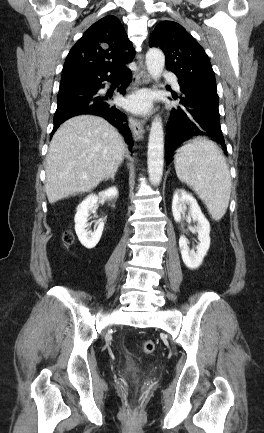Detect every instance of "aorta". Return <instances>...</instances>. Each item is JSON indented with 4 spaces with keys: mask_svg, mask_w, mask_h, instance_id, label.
I'll return each mask as SVG.
<instances>
[{
    "mask_svg": "<svg viewBox=\"0 0 264 433\" xmlns=\"http://www.w3.org/2000/svg\"><path fill=\"white\" fill-rule=\"evenodd\" d=\"M146 66L149 75L157 81L165 66V56L157 48H151L146 54ZM148 173L152 185L160 184L164 166V131L160 117H155L151 124L148 139Z\"/></svg>",
    "mask_w": 264,
    "mask_h": 433,
    "instance_id": "obj_1",
    "label": "aorta"
}]
</instances>
